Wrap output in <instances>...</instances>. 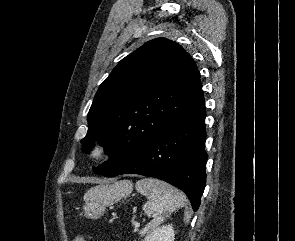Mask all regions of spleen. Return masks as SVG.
Masks as SVG:
<instances>
[{
	"instance_id": "1",
	"label": "spleen",
	"mask_w": 295,
	"mask_h": 241,
	"mask_svg": "<svg viewBox=\"0 0 295 241\" xmlns=\"http://www.w3.org/2000/svg\"><path fill=\"white\" fill-rule=\"evenodd\" d=\"M136 190L148 198L143 211L153 219L143 230L141 236H150L172 212L186 206V196L170 184L154 178H143L136 182Z\"/></svg>"
}]
</instances>
